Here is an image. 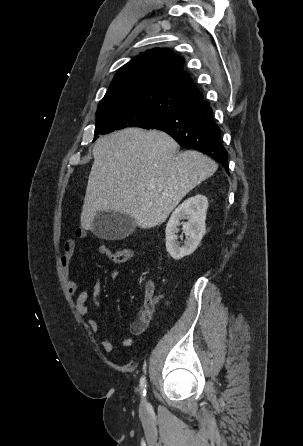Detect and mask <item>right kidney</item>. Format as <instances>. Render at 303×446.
<instances>
[{"label": "right kidney", "instance_id": "1", "mask_svg": "<svg viewBox=\"0 0 303 446\" xmlns=\"http://www.w3.org/2000/svg\"><path fill=\"white\" fill-rule=\"evenodd\" d=\"M207 208V198L203 195H196L185 200L174 210L165 231L166 249L173 259L179 260L192 254L197 249L206 230ZM185 219H187V222L180 223L181 220ZM179 225H182V230L186 235L182 247H180L176 235Z\"/></svg>", "mask_w": 303, "mask_h": 446}]
</instances>
